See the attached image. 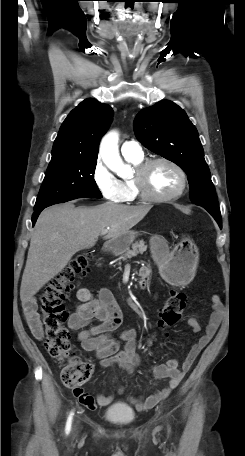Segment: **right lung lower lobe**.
Here are the masks:
<instances>
[{
	"mask_svg": "<svg viewBox=\"0 0 245 456\" xmlns=\"http://www.w3.org/2000/svg\"><path fill=\"white\" fill-rule=\"evenodd\" d=\"M43 209H39V210H35L34 213H33V216H32V223L33 225L35 224L39 214L41 213Z\"/></svg>",
	"mask_w": 245,
	"mask_h": 456,
	"instance_id": "1",
	"label": "right lung lower lobe"
}]
</instances>
